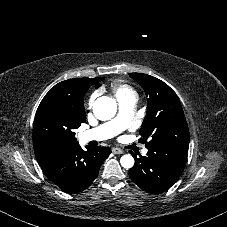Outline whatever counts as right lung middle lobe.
I'll return each instance as SVG.
<instances>
[{
  "mask_svg": "<svg viewBox=\"0 0 227 227\" xmlns=\"http://www.w3.org/2000/svg\"><path fill=\"white\" fill-rule=\"evenodd\" d=\"M104 78H99V82ZM86 118L67 108H45L36 113L33 126V146L36 157L68 150L78 144L74 130Z\"/></svg>",
  "mask_w": 227,
  "mask_h": 227,
  "instance_id": "obj_1",
  "label": "right lung middle lobe"
}]
</instances>
